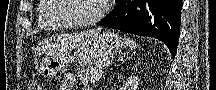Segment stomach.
<instances>
[{
	"mask_svg": "<svg viewBox=\"0 0 216 90\" xmlns=\"http://www.w3.org/2000/svg\"><path fill=\"white\" fill-rule=\"evenodd\" d=\"M125 47V41L117 33L106 31L90 38L78 50V61L82 65L98 64L118 55ZM69 61L64 56L46 58L39 65V73L44 77L62 74Z\"/></svg>",
	"mask_w": 216,
	"mask_h": 90,
	"instance_id": "1",
	"label": "stomach"
}]
</instances>
